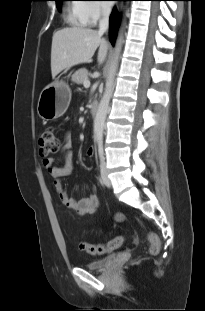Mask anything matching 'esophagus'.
<instances>
[{
    "mask_svg": "<svg viewBox=\"0 0 205 311\" xmlns=\"http://www.w3.org/2000/svg\"><path fill=\"white\" fill-rule=\"evenodd\" d=\"M121 8H122V5H119V6H118V10H121Z\"/></svg>",
    "mask_w": 205,
    "mask_h": 311,
    "instance_id": "obj_1",
    "label": "esophagus"
}]
</instances>
